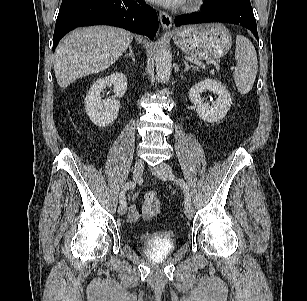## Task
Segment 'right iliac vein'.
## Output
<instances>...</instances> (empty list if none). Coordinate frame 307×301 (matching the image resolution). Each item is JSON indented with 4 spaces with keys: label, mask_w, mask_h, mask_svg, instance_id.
I'll return each mask as SVG.
<instances>
[{
    "label": "right iliac vein",
    "mask_w": 307,
    "mask_h": 301,
    "mask_svg": "<svg viewBox=\"0 0 307 301\" xmlns=\"http://www.w3.org/2000/svg\"><path fill=\"white\" fill-rule=\"evenodd\" d=\"M144 170V163L142 160L138 159L136 160L134 167H133V179L134 181H138L143 173ZM127 211V202L124 201L122 204H120L118 208V212L120 215L125 214Z\"/></svg>",
    "instance_id": "1"
}]
</instances>
